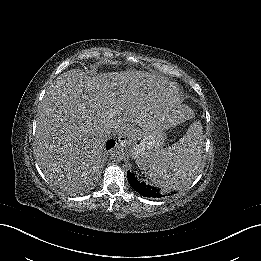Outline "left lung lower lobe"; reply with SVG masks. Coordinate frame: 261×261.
<instances>
[{"label": "left lung lower lobe", "instance_id": "0a47b994", "mask_svg": "<svg viewBox=\"0 0 261 261\" xmlns=\"http://www.w3.org/2000/svg\"><path fill=\"white\" fill-rule=\"evenodd\" d=\"M183 168L185 169V166L181 167V165H179V167H177V172L179 173V172L183 171ZM175 171H176V168H175ZM190 172H191V169H190ZM127 177H128V181H129L131 187L144 197L162 198V197L166 196L165 191H160L159 189H157L155 187H152L144 182L138 181L137 178H135V176L130 172L127 173Z\"/></svg>", "mask_w": 261, "mask_h": 261}]
</instances>
